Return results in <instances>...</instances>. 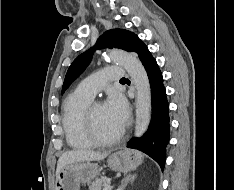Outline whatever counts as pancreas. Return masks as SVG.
<instances>
[{"instance_id":"cf45deb5","label":"pancreas","mask_w":234,"mask_h":190,"mask_svg":"<svg viewBox=\"0 0 234 190\" xmlns=\"http://www.w3.org/2000/svg\"><path fill=\"white\" fill-rule=\"evenodd\" d=\"M109 183L110 180L105 177L96 179L89 185V190H101L102 187L108 186Z\"/></svg>"}]
</instances>
